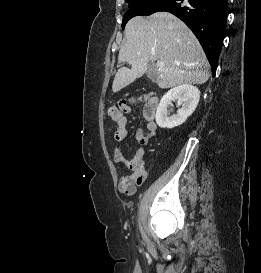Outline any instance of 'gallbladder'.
I'll list each match as a JSON object with an SVG mask.
<instances>
[{"mask_svg":"<svg viewBox=\"0 0 261 273\" xmlns=\"http://www.w3.org/2000/svg\"><path fill=\"white\" fill-rule=\"evenodd\" d=\"M147 74V77L152 81V82H155L156 79H157V70H156V67L153 63H150L149 66H148V70L146 72Z\"/></svg>","mask_w":261,"mask_h":273,"instance_id":"obj_1","label":"gallbladder"}]
</instances>
